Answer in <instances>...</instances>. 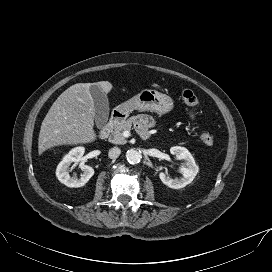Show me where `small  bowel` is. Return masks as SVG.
<instances>
[{"label":"small bowel","mask_w":272,"mask_h":272,"mask_svg":"<svg viewBox=\"0 0 272 272\" xmlns=\"http://www.w3.org/2000/svg\"><path fill=\"white\" fill-rule=\"evenodd\" d=\"M152 126V122L149 118H141L138 122L137 129L139 134L146 138L148 136V131Z\"/></svg>","instance_id":"small-bowel-1"}]
</instances>
